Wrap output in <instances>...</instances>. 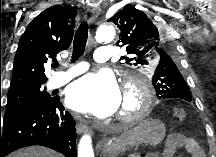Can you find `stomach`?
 Returning a JSON list of instances; mask_svg holds the SVG:
<instances>
[{
	"label": "stomach",
	"instance_id": "1",
	"mask_svg": "<svg viewBox=\"0 0 216 157\" xmlns=\"http://www.w3.org/2000/svg\"><path fill=\"white\" fill-rule=\"evenodd\" d=\"M165 132V126L161 121L155 119L143 120L133 129L112 139L107 144L104 153L125 149L130 144L158 145L164 139Z\"/></svg>",
	"mask_w": 216,
	"mask_h": 157
}]
</instances>
